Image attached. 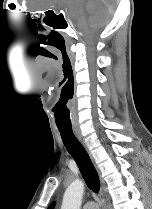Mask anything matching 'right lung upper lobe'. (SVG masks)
<instances>
[{"mask_svg": "<svg viewBox=\"0 0 152 209\" xmlns=\"http://www.w3.org/2000/svg\"><path fill=\"white\" fill-rule=\"evenodd\" d=\"M54 206H55V203H52V204L48 207V209H53Z\"/></svg>", "mask_w": 152, "mask_h": 209, "instance_id": "cb5924a9", "label": "right lung upper lobe"}]
</instances>
